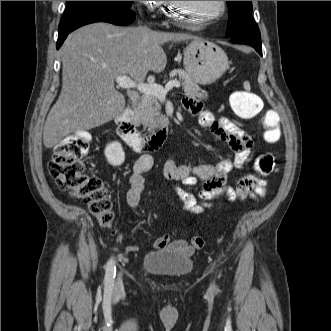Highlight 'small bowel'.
Returning <instances> with one entry per match:
<instances>
[{"mask_svg":"<svg viewBox=\"0 0 331 331\" xmlns=\"http://www.w3.org/2000/svg\"><path fill=\"white\" fill-rule=\"evenodd\" d=\"M183 106L191 114L198 117L201 127L207 129L214 137L227 144L234 152L233 159L225 158L215 164H201L196 166L178 165L173 158L167 159L164 164L163 173L169 180L181 181L184 186L194 187L198 183L201 189L198 197L180 187L174 191L183 204V208L191 213H201L206 204L198 200H210L224 196L228 200L240 197L243 189L251 197L265 194L266 181L256 176H247L238 181V186L233 189L226 185L227 174L234 168H243L253 148L252 138L234 121L227 117H215L213 113L204 110L201 103L194 99H185ZM152 157L148 154L140 156L133 164L132 172L128 178L129 189L126 193V202L131 209L139 205L144 189L143 175L151 169ZM176 248L189 255L193 253L194 247L185 240L171 242L167 235L158 238L154 249ZM136 245H129L128 252H136Z\"/></svg>","mask_w":331,"mask_h":331,"instance_id":"1","label":"small bowel"}]
</instances>
